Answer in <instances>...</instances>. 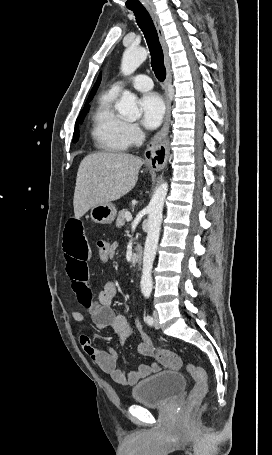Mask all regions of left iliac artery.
Masks as SVG:
<instances>
[{
    "label": "left iliac artery",
    "instance_id": "obj_1",
    "mask_svg": "<svg viewBox=\"0 0 272 455\" xmlns=\"http://www.w3.org/2000/svg\"><path fill=\"white\" fill-rule=\"evenodd\" d=\"M146 298H149V294H145ZM145 321L147 324L152 325L153 324V318L150 315H147L145 318Z\"/></svg>",
    "mask_w": 272,
    "mask_h": 455
}]
</instances>
